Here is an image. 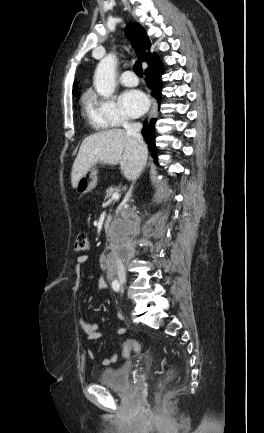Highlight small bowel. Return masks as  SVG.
<instances>
[{"instance_id": "c3829d8e", "label": "small bowel", "mask_w": 264, "mask_h": 433, "mask_svg": "<svg viewBox=\"0 0 264 433\" xmlns=\"http://www.w3.org/2000/svg\"><path fill=\"white\" fill-rule=\"evenodd\" d=\"M88 257L86 255H82L77 257L76 259V282H75V288L78 291L79 286H80V275H81V269L82 266L87 262ZM98 284L99 287L101 289H106L107 288V284L105 282V280L103 278H99L98 280ZM92 299V297H87L86 301L90 302ZM80 326L82 331L85 333V335L87 336L88 340L91 341H97L101 339V334L98 331V324L96 323H90L85 321L84 319H80ZM118 332L120 334H124L125 333V329L124 328H120L118 330ZM88 356L92 359V360H97L98 357L96 355V353L93 350H88ZM117 361V355L113 354L107 358H104L101 363L105 366H108L114 362Z\"/></svg>"}]
</instances>
